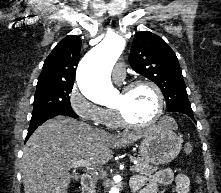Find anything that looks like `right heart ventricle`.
Instances as JSON below:
<instances>
[{
	"instance_id": "e07e8e85",
	"label": "right heart ventricle",
	"mask_w": 221,
	"mask_h": 193,
	"mask_svg": "<svg viewBox=\"0 0 221 193\" xmlns=\"http://www.w3.org/2000/svg\"><path fill=\"white\" fill-rule=\"evenodd\" d=\"M107 126L111 128H115L120 126L118 118L114 110L108 109L106 110V123Z\"/></svg>"
}]
</instances>
